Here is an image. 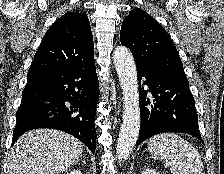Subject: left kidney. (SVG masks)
Returning <instances> with one entry per match:
<instances>
[{
	"label": "left kidney",
	"mask_w": 224,
	"mask_h": 174,
	"mask_svg": "<svg viewBox=\"0 0 224 174\" xmlns=\"http://www.w3.org/2000/svg\"><path fill=\"white\" fill-rule=\"evenodd\" d=\"M142 174H160V173L153 169H146L145 171H143Z\"/></svg>",
	"instance_id": "left-kidney-1"
}]
</instances>
